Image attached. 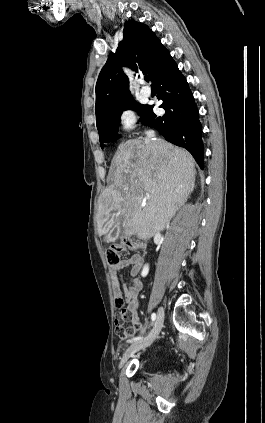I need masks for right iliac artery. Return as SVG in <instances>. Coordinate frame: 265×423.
Returning <instances> with one entry per match:
<instances>
[{"instance_id":"right-iliac-artery-1","label":"right iliac artery","mask_w":265,"mask_h":423,"mask_svg":"<svg viewBox=\"0 0 265 423\" xmlns=\"http://www.w3.org/2000/svg\"><path fill=\"white\" fill-rule=\"evenodd\" d=\"M151 319H152V321H155V319H156V314H155V313H153V314L151 315ZM142 338H143V337H136V338H134V339L130 340L129 342L136 341V340H140V339H142Z\"/></svg>"}]
</instances>
